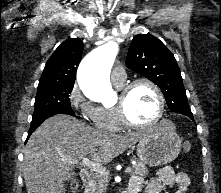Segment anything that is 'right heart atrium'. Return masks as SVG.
<instances>
[{"label":"right heart atrium","mask_w":221,"mask_h":193,"mask_svg":"<svg viewBox=\"0 0 221 193\" xmlns=\"http://www.w3.org/2000/svg\"><path fill=\"white\" fill-rule=\"evenodd\" d=\"M68 103L82 117L92 122L96 120L98 107L85 98L77 84L71 88L68 94Z\"/></svg>","instance_id":"1"}]
</instances>
